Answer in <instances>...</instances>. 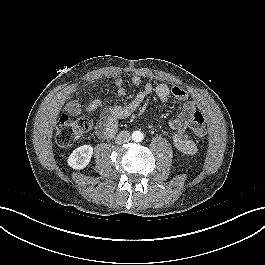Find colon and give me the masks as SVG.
Wrapping results in <instances>:
<instances>
[{"label":"colon","instance_id":"colon-1","mask_svg":"<svg viewBox=\"0 0 265 265\" xmlns=\"http://www.w3.org/2000/svg\"><path fill=\"white\" fill-rule=\"evenodd\" d=\"M91 127L92 120L89 117L71 118L62 115L56 123V142L61 147L69 146L76 142L81 135L88 132ZM190 129L196 137H205L207 133L206 119L200 111L193 114Z\"/></svg>","mask_w":265,"mask_h":265}]
</instances>
